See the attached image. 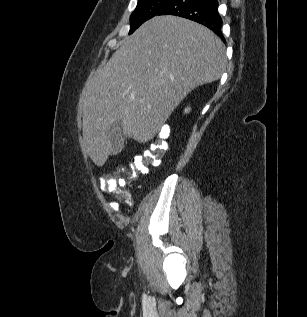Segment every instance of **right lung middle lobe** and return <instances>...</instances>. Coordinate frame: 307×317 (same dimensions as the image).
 I'll return each instance as SVG.
<instances>
[{"label": "right lung middle lobe", "mask_w": 307, "mask_h": 317, "mask_svg": "<svg viewBox=\"0 0 307 317\" xmlns=\"http://www.w3.org/2000/svg\"><path fill=\"white\" fill-rule=\"evenodd\" d=\"M172 0H138L136 9L130 16V32L133 33L142 23L159 15Z\"/></svg>", "instance_id": "right-lung-middle-lobe-1"}]
</instances>
